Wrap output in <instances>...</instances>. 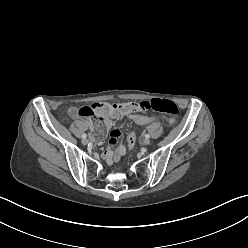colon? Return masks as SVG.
<instances>
[{"mask_svg":"<svg viewBox=\"0 0 248 248\" xmlns=\"http://www.w3.org/2000/svg\"><path fill=\"white\" fill-rule=\"evenodd\" d=\"M155 110L166 113L171 116L178 114L179 109L175 102L168 99H153L140 102H126V103H96L92 106L81 107L78 111L80 117L85 119H92L95 128L94 137L98 141H103L107 137V130L112 126L111 118L121 117L127 111H148ZM128 119L130 122L136 124L137 127L152 126L159 124L162 118L159 115H147L141 113H129ZM136 141L134 132L127 135V145L129 149H133Z\"/></svg>","mask_w":248,"mask_h":248,"instance_id":"1","label":"colon"}]
</instances>
